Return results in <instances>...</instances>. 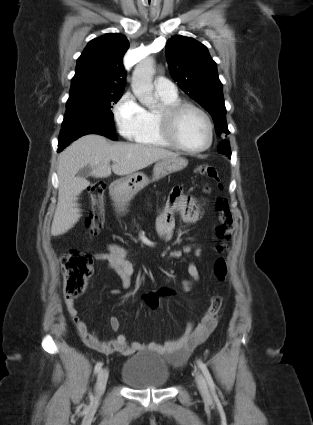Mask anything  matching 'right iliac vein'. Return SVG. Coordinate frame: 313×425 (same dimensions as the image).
<instances>
[{
	"instance_id": "right-iliac-vein-1",
	"label": "right iliac vein",
	"mask_w": 313,
	"mask_h": 425,
	"mask_svg": "<svg viewBox=\"0 0 313 425\" xmlns=\"http://www.w3.org/2000/svg\"><path fill=\"white\" fill-rule=\"evenodd\" d=\"M108 376H109V371L107 368H103L102 370L99 371L96 385H95V395L93 398L94 403L99 401V399L103 395L105 387H106V383L108 380Z\"/></svg>"
}]
</instances>
